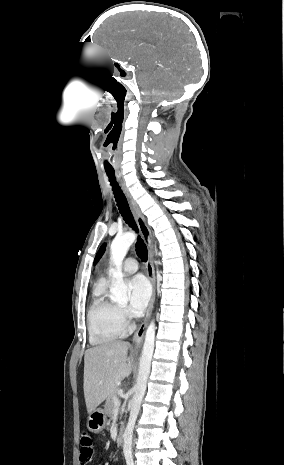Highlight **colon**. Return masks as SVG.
I'll return each instance as SVG.
<instances>
[{"instance_id": "1", "label": "colon", "mask_w": 284, "mask_h": 465, "mask_svg": "<svg viewBox=\"0 0 284 465\" xmlns=\"http://www.w3.org/2000/svg\"><path fill=\"white\" fill-rule=\"evenodd\" d=\"M94 454L93 440L86 434L82 433L80 437V461L82 465L88 463Z\"/></svg>"}]
</instances>
